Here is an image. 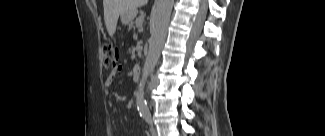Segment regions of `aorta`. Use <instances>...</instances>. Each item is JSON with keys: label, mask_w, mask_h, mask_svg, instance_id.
<instances>
[{"label": "aorta", "mask_w": 325, "mask_h": 136, "mask_svg": "<svg viewBox=\"0 0 325 136\" xmlns=\"http://www.w3.org/2000/svg\"><path fill=\"white\" fill-rule=\"evenodd\" d=\"M173 4L174 0H158L151 15L149 49L139 83L140 90L136 94L137 109L142 114L149 112L142 88L145 86L148 76L154 70L160 57L167 35Z\"/></svg>", "instance_id": "obj_1"}]
</instances>
